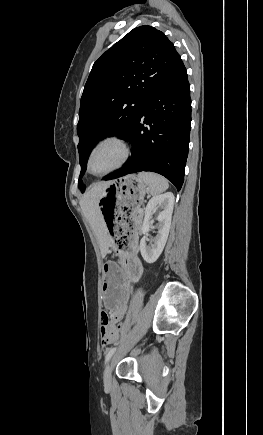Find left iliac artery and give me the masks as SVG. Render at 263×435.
Listing matches in <instances>:
<instances>
[{"label":"left iliac artery","instance_id":"left-iliac-artery-1","mask_svg":"<svg viewBox=\"0 0 263 435\" xmlns=\"http://www.w3.org/2000/svg\"><path fill=\"white\" fill-rule=\"evenodd\" d=\"M117 347H113L109 350V352L107 353L106 357H105V363L111 358V356L116 352Z\"/></svg>","mask_w":263,"mask_h":435}]
</instances>
